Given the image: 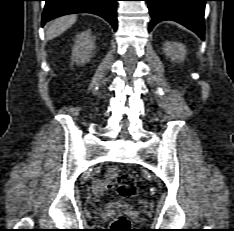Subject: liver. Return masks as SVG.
I'll return each instance as SVG.
<instances>
[{
	"label": "liver",
	"mask_w": 234,
	"mask_h": 231,
	"mask_svg": "<svg viewBox=\"0 0 234 231\" xmlns=\"http://www.w3.org/2000/svg\"><path fill=\"white\" fill-rule=\"evenodd\" d=\"M77 20L76 15H67L52 21L46 29V38L51 40L69 29Z\"/></svg>",
	"instance_id": "6515ba94"
}]
</instances>
